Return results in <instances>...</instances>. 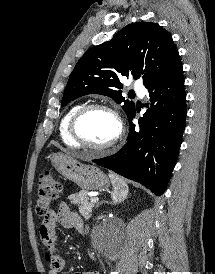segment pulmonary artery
<instances>
[{
    "label": "pulmonary artery",
    "mask_w": 215,
    "mask_h": 274,
    "mask_svg": "<svg viewBox=\"0 0 215 274\" xmlns=\"http://www.w3.org/2000/svg\"><path fill=\"white\" fill-rule=\"evenodd\" d=\"M134 90L139 93L140 95H143L145 93V88L143 87L142 84L136 82L134 84Z\"/></svg>",
    "instance_id": "obj_1"
}]
</instances>
